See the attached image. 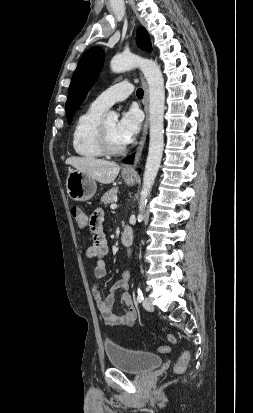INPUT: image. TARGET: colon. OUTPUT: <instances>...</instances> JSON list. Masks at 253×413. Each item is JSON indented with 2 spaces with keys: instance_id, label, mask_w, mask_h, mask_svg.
<instances>
[{
  "instance_id": "obj_1",
  "label": "colon",
  "mask_w": 253,
  "mask_h": 413,
  "mask_svg": "<svg viewBox=\"0 0 253 413\" xmlns=\"http://www.w3.org/2000/svg\"><path fill=\"white\" fill-rule=\"evenodd\" d=\"M71 216H72L73 220L75 221V223L80 228H84L88 223V219H87L86 214L79 207L74 206V207L71 208ZM168 340L173 344H175L177 342L176 337L172 334H168ZM158 350L160 352L167 353V352H169V347L168 346H160L158 348ZM189 360H190V353L189 352H183L180 355L177 364L175 365V368H174L175 372L176 373H182L186 369V367L189 363Z\"/></svg>"
}]
</instances>
